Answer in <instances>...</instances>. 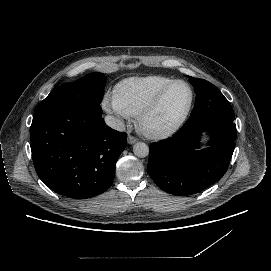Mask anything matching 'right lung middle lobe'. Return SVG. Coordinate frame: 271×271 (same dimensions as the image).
<instances>
[{
  "label": "right lung middle lobe",
  "instance_id": "1",
  "mask_svg": "<svg viewBox=\"0 0 271 271\" xmlns=\"http://www.w3.org/2000/svg\"><path fill=\"white\" fill-rule=\"evenodd\" d=\"M106 77L94 72L72 82L64 83L51 91L34 112V116L45 111L63 108H94L101 112L100 102L104 93Z\"/></svg>",
  "mask_w": 271,
  "mask_h": 271
}]
</instances>
